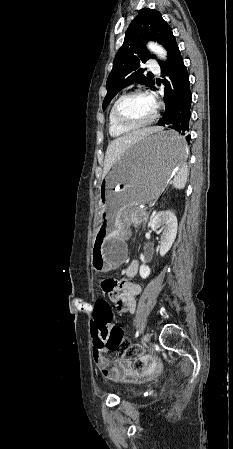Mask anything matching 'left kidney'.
I'll return each mask as SVG.
<instances>
[{
    "instance_id": "5707ae66",
    "label": "left kidney",
    "mask_w": 233,
    "mask_h": 449,
    "mask_svg": "<svg viewBox=\"0 0 233 449\" xmlns=\"http://www.w3.org/2000/svg\"><path fill=\"white\" fill-rule=\"evenodd\" d=\"M151 229L158 230L161 228L162 235L160 238V255L164 256L171 248L177 234V218L171 211H161L151 219ZM151 273L148 266L141 265L139 274L141 278L146 279Z\"/></svg>"
}]
</instances>
